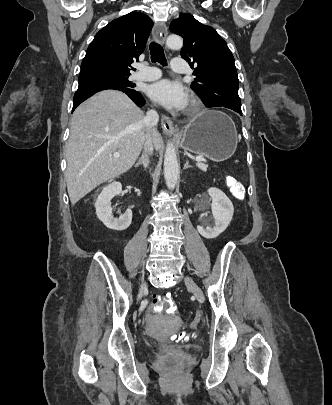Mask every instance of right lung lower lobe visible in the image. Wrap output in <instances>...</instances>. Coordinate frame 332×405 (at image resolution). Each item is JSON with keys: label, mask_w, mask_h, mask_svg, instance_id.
I'll list each match as a JSON object with an SVG mask.
<instances>
[{"label": "right lung lower lobe", "mask_w": 332, "mask_h": 405, "mask_svg": "<svg viewBox=\"0 0 332 405\" xmlns=\"http://www.w3.org/2000/svg\"><path fill=\"white\" fill-rule=\"evenodd\" d=\"M106 89H114V90H119V91L126 93L139 107L143 106L145 103V100L143 99L140 92H138V91H128L126 89H123L120 87H115L112 85H97V86L87 87L84 89H78L76 91V93L74 95V99H73L72 112L75 110V108L80 103L85 101L87 98H89L90 96H92L93 94H95L99 91L106 90Z\"/></svg>", "instance_id": "right-lung-lower-lobe-1"}]
</instances>
